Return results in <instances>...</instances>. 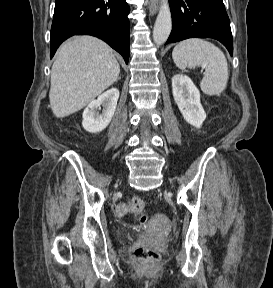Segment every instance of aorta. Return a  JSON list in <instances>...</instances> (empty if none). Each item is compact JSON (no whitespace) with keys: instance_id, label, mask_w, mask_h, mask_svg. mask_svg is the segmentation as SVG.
<instances>
[{"instance_id":"aorta-1","label":"aorta","mask_w":273,"mask_h":288,"mask_svg":"<svg viewBox=\"0 0 273 288\" xmlns=\"http://www.w3.org/2000/svg\"><path fill=\"white\" fill-rule=\"evenodd\" d=\"M172 29V19L168 0H161L159 13L153 29V40L161 45L166 42Z\"/></svg>"}]
</instances>
